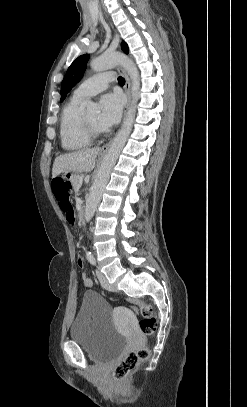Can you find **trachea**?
I'll use <instances>...</instances> for the list:
<instances>
[{
  "instance_id": "obj_1",
  "label": "trachea",
  "mask_w": 247,
  "mask_h": 407,
  "mask_svg": "<svg viewBox=\"0 0 247 407\" xmlns=\"http://www.w3.org/2000/svg\"><path fill=\"white\" fill-rule=\"evenodd\" d=\"M118 82H119L120 84H125V79H124L123 77L119 76V77H118Z\"/></svg>"
}]
</instances>
